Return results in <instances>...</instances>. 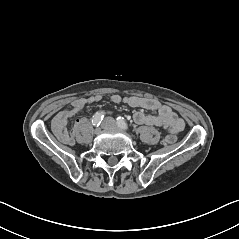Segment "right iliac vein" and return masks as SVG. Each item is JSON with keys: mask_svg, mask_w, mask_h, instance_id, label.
Returning a JSON list of instances; mask_svg holds the SVG:
<instances>
[{"mask_svg": "<svg viewBox=\"0 0 239 239\" xmlns=\"http://www.w3.org/2000/svg\"><path fill=\"white\" fill-rule=\"evenodd\" d=\"M110 127V124L107 121H104L101 125L102 129H107ZM96 132H98V130H96Z\"/></svg>", "mask_w": 239, "mask_h": 239, "instance_id": "63e3f726", "label": "right iliac vein"}]
</instances>
